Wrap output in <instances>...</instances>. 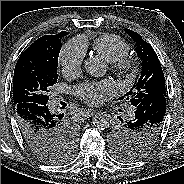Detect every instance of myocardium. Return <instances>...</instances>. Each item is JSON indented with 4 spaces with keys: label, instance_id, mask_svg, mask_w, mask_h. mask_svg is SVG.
I'll return each mask as SVG.
<instances>
[{
    "label": "myocardium",
    "instance_id": "obj_1",
    "mask_svg": "<svg viewBox=\"0 0 184 184\" xmlns=\"http://www.w3.org/2000/svg\"><path fill=\"white\" fill-rule=\"evenodd\" d=\"M111 64V70L116 72L119 76L127 80L134 78L137 70V64L134 58L124 55L119 60Z\"/></svg>",
    "mask_w": 184,
    "mask_h": 184
}]
</instances>
